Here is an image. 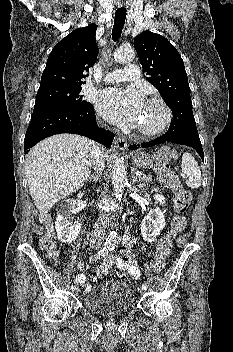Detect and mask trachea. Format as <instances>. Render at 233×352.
Segmentation results:
<instances>
[{"mask_svg":"<svg viewBox=\"0 0 233 352\" xmlns=\"http://www.w3.org/2000/svg\"><path fill=\"white\" fill-rule=\"evenodd\" d=\"M125 19H126V9L125 8L117 9L115 13L114 25L112 29L113 41H118V39L120 38L124 27Z\"/></svg>","mask_w":233,"mask_h":352,"instance_id":"trachea-1","label":"trachea"}]
</instances>
